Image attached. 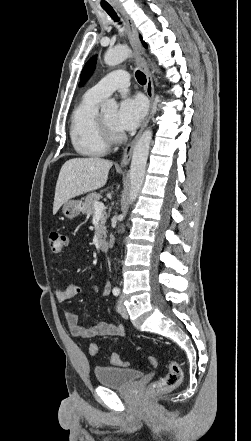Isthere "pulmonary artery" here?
Instances as JSON below:
<instances>
[{
    "label": "pulmonary artery",
    "instance_id": "pulmonary-artery-1",
    "mask_svg": "<svg viewBox=\"0 0 251 441\" xmlns=\"http://www.w3.org/2000/svg\"><path fill=\"white\" fill-rule=\"evenodd\" d=\"M129 85V74L123 70H116L99 80L91 89L100 96L107 97L116 90L126 89Z\"/></svg>",
    "mask_w": 251,
    "mask_h": 441
}]
</instances>
